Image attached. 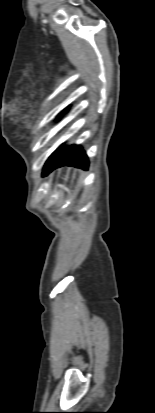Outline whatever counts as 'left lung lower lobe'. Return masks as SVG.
Listing matches in <instances>:
<instances>
[{"mask_svg": "<svg viewBox=\"0 0 155 413\" xmlns=\"http://www.w3.org/2000/svg\"><path fill=\"white\" fill-rule=\"evenodd\" d=\"M61 147L60 152L52 154L45 163L43 176L48 175L54 169L62 166H73L76 168L88 169V157L80 145H71L70 147ZM59 147V148H60Z\"/></svg>", "mask_w": 155, "mask_h": 413, "instance_id": "left-lung-lower-lobe-1", "label": "left lung lower lobe"}]
</instances>
